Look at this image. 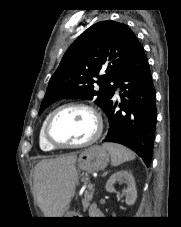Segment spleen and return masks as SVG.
<instances>
[{
    "label": "spleen",
    "mask_w": 181,
    "mask_h": 227,
    "mask_svg": "<svg viewBox=\"0 0 181 227\" xmlns=\"http://www.w3.org/2000/svg\"><path fill=\"white\" fill-rule=\"evenodd\" d=\"M102 146L109 152L112 166H119L120 164L135 158L134 153L123 145L117 143H104Z\"/></svg>",
    "instance_id": "3e777b00"
}]
</instances>
